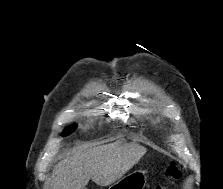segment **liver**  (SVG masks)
<instances>
[{
	"label": "liver",
	"mask_w": 223,
	"mask_h": 189,
	"mask_svg": "<svg viewBox=\"0 0 223 189\" xmlns=\"http://www.w3.org/2000/svg\"><path fill=\"white\" fill-rule=\"evenodd\" d=\"M146 148L114 142L84 147L61 160L54 168L45 189H86L92 179L97 185L108 186L120 179L142 156Z\"/></svg>",
	"instance_id": "6515ba94"
}]
</instances>
